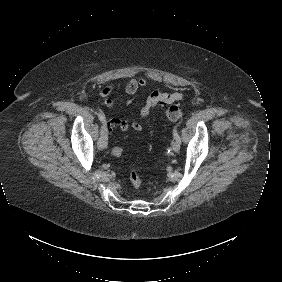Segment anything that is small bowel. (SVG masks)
<instances>
[{
    "label": "small bowel",
    "instance_id": "1",
    "mask_svg": "<svg viewBox=\"0 0 282 282\" xmlns=\"http://www.w3.org/2000/svg\"><path fill=\"white\" fill-rule=\"evenodd\" d=\"M148 83V79L146 77H141L138 79L132 78L129 79L126 82L125 85V92L129 95V98L127 99L125 105L126 107H131L138 95L139 90L146 86ZM115 85L113 83L108 84L104 86L100 91L99 95L104 98L103 100V106L107 109L112 110L114 108L113 101L108 99V96L112 93L114 90ZM183 98L182 93L180 92H168V91H162V90H155L152 93L148 95V97L145 100L144 105L142 106L140 110V119L144 120L146 119L152 109H154L157 106H174L178 101H180ZM119 129L122 132L128 131L130 128H132L135 131H142L143 126L141 122L133 120L131 122H128L125 119L114 117L110 119L105 126L106 131L111 132L113 129Z\"/></svg>",
    "mask_w": 282,
    "mask_h": 282
}]
</instances>
